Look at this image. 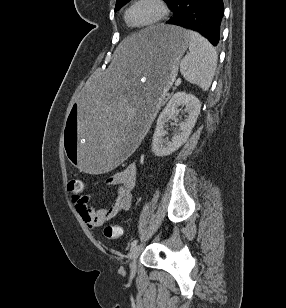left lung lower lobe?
Returning <instances> with one entry per match:
<instances>
[{
  "instance_id": "1",
  "label": "left lung lower lobe",
  "mask_w": 286,
  "mask_h": 308,
  "mask_svg": "<svg viewBox=\"0 0 286 308\" xmlns=\"http://www.w3.org/2000/svg\"><path fill=\"white\" fill-rule=\"evenodd\" d=\"M169 9L173 11V17L167 24L197 31L214 46L218 44L223 0H173Z\"/></svg>"
}]
</instances>
